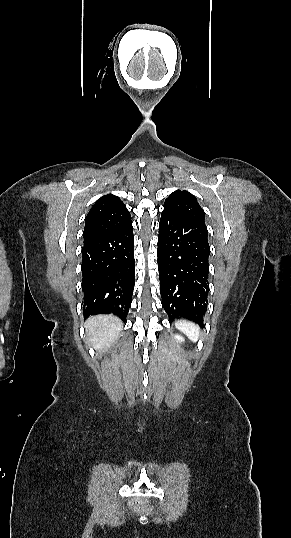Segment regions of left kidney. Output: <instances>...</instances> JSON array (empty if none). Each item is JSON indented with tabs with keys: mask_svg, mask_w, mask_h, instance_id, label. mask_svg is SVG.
<instances>
[{
	"mask_svg": "<svg viewBox=\"0 0 291 538\" xmlns=\"http://www.w3.org/2000/svg\"><path fill=\"white\" fill-rule=\"evenodd\" d=\"M175 338H176L178 341H184V338L181 337V336H179V335L175 336Z\"/></svg>",
	"mask_w": 291,
	"mask_h": 538,
	"instance_id": "obj_1",
	"label": "left kidney"
}]
</instances>
